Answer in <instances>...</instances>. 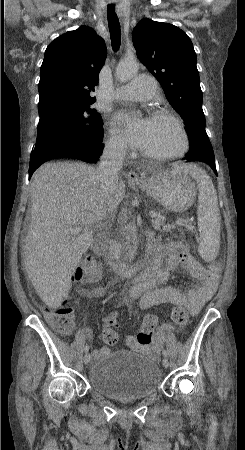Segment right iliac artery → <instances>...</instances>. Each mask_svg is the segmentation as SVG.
Segmentation results:
<instances>
[{"instance_id":"1","label":"right iliac artery","mask_w":245,"mask_h":450,"mask_svg":"<svg viewBox=\"0 0 245 450\" xmlns=\"http://www.w3.org/2000/svg\"><path fill=\"white\" fill-rule=\"evenodd\" d=\"M84 350H85V352H88V350H89V345H86L85 348H84Z\"/></svg>"}]
</instances>
